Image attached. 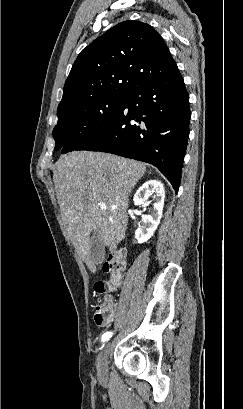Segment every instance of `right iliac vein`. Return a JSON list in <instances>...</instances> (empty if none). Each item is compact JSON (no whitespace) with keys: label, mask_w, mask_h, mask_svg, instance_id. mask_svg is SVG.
<instances>
[{"label":"right iliac vein","mask_w":243,"mask_h":409,"mask_svg":"<svg viewBox=\"0 0 243 409\" xmlns=\"http://www.w3.org/2000/svg\"><path fill=\"white\" fill-rule=\"evenodd\" d=\"M111 349V343H106L97 357V374L99 378L104 379L107 373L108 356Z\"/></svg>","instance_id":"63e3f726"}]
</instances>
